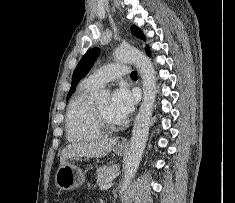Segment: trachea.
Returning <instances> with one entry per match:
<instances>
[{"mask_svg": "<svg viewBox=\"0 0 235 203\" xmlns=\"http://www.w3.org/2000/svg\"><path fill=\"white\" fill-rule=\"evenodd\" d=\"M131 77H137V72H136V71H133V72L131 73Z\"/></svg>", "mask_w": 235, "mask_h": 203, "instance_id": "obj_1", "label": "trachea"}]
</instances>
